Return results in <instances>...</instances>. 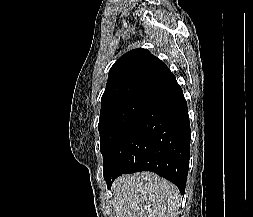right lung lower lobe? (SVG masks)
<instances>
[{"label": "right lung lower lobe", "mask_w": 253, "mask_h": 217, "mask_svg": "<svg viewBox=\"0 0 253 217\" xmlns=\"http://www.w3.org/2000/svg\"><path fill=\"white\" fill-rule=\"evenodd\" d=\"M190 133L187 103L175 82L150 101L117 142L104 169L108 188L122 174L152 171L174 183L183 194Z\"/></svg>", "instance_id": "1"}]
</instances>
